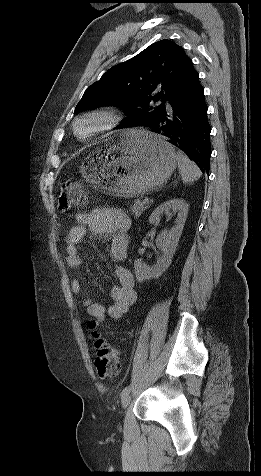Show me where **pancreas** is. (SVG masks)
<instances>
[{
	"label": "pancreas",
	"mask_w": 261,
	"mask_h": 476,
	"mask_svg": "<svg viewBox=\"0 0 261 476\" xmlns=\"http://www.w3.org/2000/svg\"><path fill=\"white\" fill-rule=\"evenodd\" d=\"M147 208L148 205H145L143 201L136 200L134 203H132L130 211L134 214L135 218H138Z\"/></svg>",
	"instance_id": "1"
}]
</instances>
